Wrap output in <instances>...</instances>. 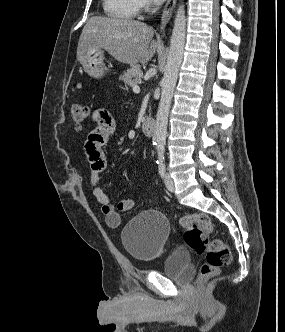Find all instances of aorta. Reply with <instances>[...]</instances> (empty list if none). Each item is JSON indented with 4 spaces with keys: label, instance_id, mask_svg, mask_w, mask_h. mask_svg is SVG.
I'll list each match as a JSON object with an SVG mask.
<instances>
[{
    "label": "aorta",
    "instance_id": "obj_1",
    "mask_svg": "<svg viewBox=\"0 0 285 332\" xmlns=\"http://www.w3.org/2000/svg\"><path fill=\"white\" fill-rule=\"evenodd\" d=\"M185 35V9L184 5L181 4L178 7L174 20L169 55L165 66L164 76L161 81V99L156 116L155 142L159 159L164 158L168 115L183 58Z\"/></svg>",
    "mask_w": 285,
    "mask_h": 332
}]
</instances>
